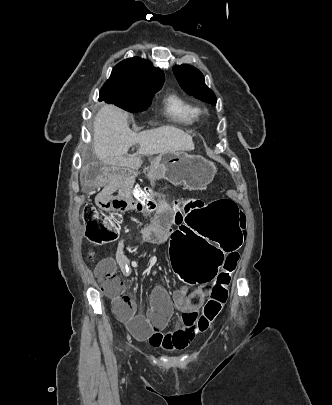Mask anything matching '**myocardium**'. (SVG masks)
<instances>
[{
	"mask_svg": "<svg viewBox=\"0 0 332 405\" xmlns=\"http://www.w3.org/2000/svg\"><path fill=\"white\" fill-rule=\"evenodd\" d=\"M205 110L204 109H199V113H204Z\"/></svg>",
	"mask_w": 332,
	"mask_h": 405,
	"instance_id": "f54148a6",
	"label": "myocardium"
}]
</instances>
